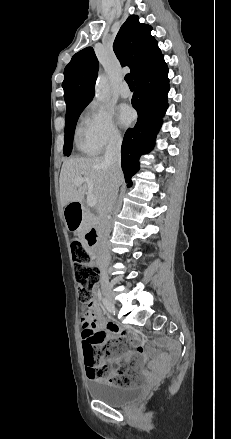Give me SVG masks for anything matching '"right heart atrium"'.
<instances>
[{"label": "right heart atrium", "instance_id": "obj_1", "mask_svg": "<svg viewBox=\"0 0 231 439\" xmlns=\"http://www.w3.org/2000/svg\"><path fill=\"white\" fill-rule=\"evenodd\" d=\"M83 136L95 152L120 145L122 136L112 111L97 103H90L83 115Z\"/></svg>", "mask_w": 231, "mask_h": 439}]
</instances>
